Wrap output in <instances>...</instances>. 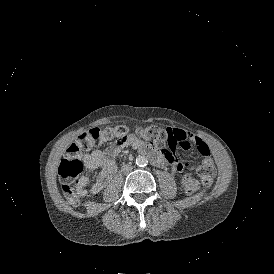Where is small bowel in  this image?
<instances>
[{
  "label": "small bowel",
  "instance_id": "c3829d8e",
  "mask_svg": "<svg viewBox=\"0 0 274 274\" xmlns=\"http://www.w3.org/2000/svg\"><path fill=\"white\" fill-rule=\"evenodd\" d=\"M179 144V145H178ZM197 147L201 152V158L206 161L205 164H200L196 168V173L204 182L208 185H213L216 182V177L211 173L210 169H214L217 166V161L214 158H210V151L205 141L197 136L177 128L170 130V140L168 147L165 149V156L156 148H152L145 144L137 137L130 135L127 136L125 142L116 145L115 147H109L105 150H95L88 152L84 155V164L87 172H92L97 169L100 170L94 183L88 187L89 178L87 175H82L77 183V189L80 195H96L99 194L104 187L111 180L112 176L117 171L116 156L120 149L124 146H132L136 148L141 154L149 153V158L152 163L159 168L170 167L173 171L180 172L184 169V165L178 163L177 155L174 150L178 147L183 150H187L190 146Z\"/></svg>",
  "mask_w": 274,
  "mask_h": 274
}]
</instances>
